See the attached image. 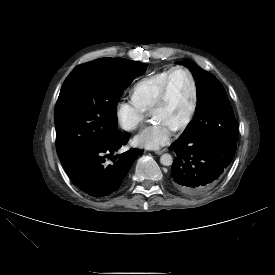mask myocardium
Instances as JSON below:
<instances>
[{
  "mask_svg": "<svg viewBox=\"0 0 275 275\" xmlns=\"http://www.w3.org/2000/svg\"><path fill=\"white\" fill-rule=\"evenodd\" d=\"M176 71H183L187 74L190 81L191 90H192V103H191L190 110L186 118L174 129L175 131L179 132V131H183L185 128H187L190 125V123L192 122L195 116L197 106H198V89H197L196 81L192 72L188 68L179 65L170 69L159 91L157 99L153 107L151 108V112L159 109L165 104L168 96L169 82H170L171 76Z\"/></svg>",
  "mask_w": 275,
  "mask_h": 275,
  "instance_id": "myocardium-1",
  "label": "myocardium"
}]
</instances>
